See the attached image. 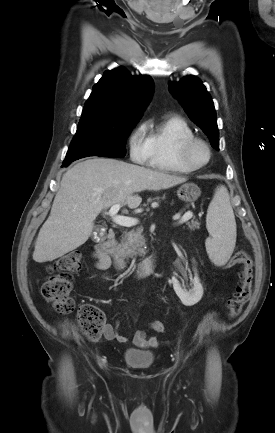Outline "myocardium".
<instances>
[{"label": "myocardium", "mask_w": 275, "mask_h": 433, "mask_svg": "<svg viewBox=\"0 0 275 433\" xmlns=\"http://www.w3.org/2000/svg\"><path fill=\"white\" fill-rule=\"evenodd\" d=\"M196 146H202L206 150L207 159L204 162H197L193 158V150ZM212 150L207 141L200 137L193 136L184 140L179 147V159L181 163L193 170L205 167L211 161Z\"/></svg>", "instance_id": "myocardium-1"}]
</instances>
